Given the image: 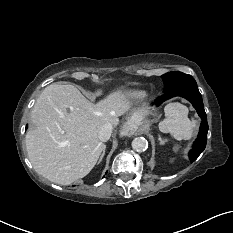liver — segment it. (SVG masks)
Instances as JSON below:
<instances>
[{"mask_svg": "<svg viewBox=\"0 0 233 233\" xmlns=\"http://www.w3.org/2000/svg\"><path fill=\"white\" fill-rule=\"evenodd\" d=\"M131 104L122 90L93 104L73 85L47 86L31 112L26 134L34 170L51 182L70 185L95 166L104 144L98 137L105 124H119Z\"/></svg>", "mask_w": 233, "mask_h": 233, "instance_id": "6515ba94", "label": "liver"}]
</instances>
